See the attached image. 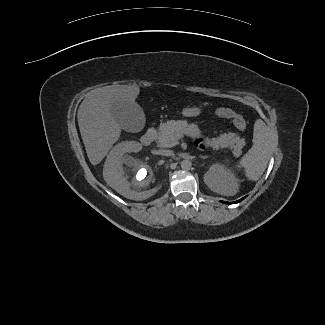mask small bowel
<instances>
[{"instance_id": "obj_1", "label": "small bowel", "mask_w": 325, "mask_h": 325, "mask_svg": "<svg viewBox=\"0 0 325 325\" xmlns=\"http://www.w3.org/2000/svg\"><path fill=\"white\" fill-rule=\"evenodd\" d=\"M195 145L198 147L200 150H204L207 147V143L203 138H198L194 141Z\"/></svg>"}]
</instances>
